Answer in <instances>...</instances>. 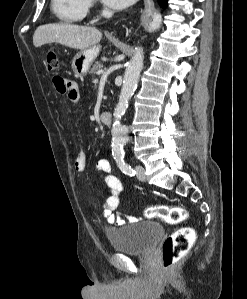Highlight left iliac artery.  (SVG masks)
I'll list each match as a JSON object with an SVG mask.
<instances>
[{
    "label": "left iliac artery",
    "mask_w": 247,
    "mask_h": 299,
    "mask_svg": "<svg viewBox=\"0 0 247 299\" xmlns=\"http://www.w3.org/2000/svg\"><path fill=\"white\" fill-rule=\"evenodd\" d=\"M116 159V162H117V165L118 167L120 168V170L129 175V176H134L135 175V171L131 168V166L129 164H127L124 160V155H121V156H118V157H115Z\"/></svg>",
    "instance_id": "1"
}]
</instances>
